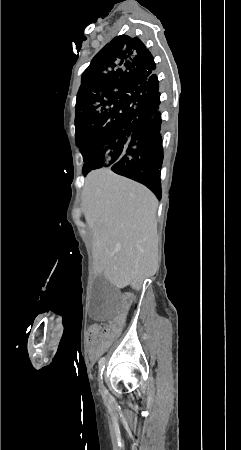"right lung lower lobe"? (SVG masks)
I'll use <instances>...</instances> for the list:
<instances>
[{
	"instance_id": "98d812e1",
	"label": "right lung lower lobe",
	"mask_w": 241,
	"mask_h": 450,
	"mask_svg": "<svg viewBox=\"0 0 241 450\" xmlns=\"http://www.w3.org/2000/svg\"><path fill=\"white\" fill-rule=\"evenodd\" d=\"M147 104L143 114L123 127L112 131V135H123L126 132L141 134L143 140L129 153L116 162L111 170L147 186L157 197L161 198L160 169L163 161L161 130V113L159 81L156 74L146 80Z\"/></svg>"
}]
</instances>
